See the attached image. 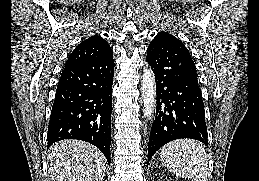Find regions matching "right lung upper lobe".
I'll return each mask as SVG.
<instances>
[{
    "label": "right lung upper lobe",
    "mask_w": 259,
    "mask_h": 181,
    "mask_svg": "<svg viewBox=\"0 0 259 181\" xmlns=\"http://www.w3.org/2000/svg\"><path fill=\"white\" fill-rule=\"evenodd\" d=\"M112 52L109 44L100 36L93 35L75 47L68 57L65 68L93 61Z\"/></svg>",
    "instance_id": "cb5924a9"
}]
</instances>
